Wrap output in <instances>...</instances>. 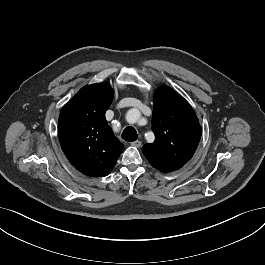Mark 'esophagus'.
I'll return each instance as SVG.
<instances>
[{
    "mask_svg": "<svg viewBox=\"0 0 265 265\" xmlns=\"http://www.w3.org/2000/svg\"><path fill=\"white\" fill-rule=\"evenodd\" d=\"M131 145L134 146V147L139 148L141 146V141L136 140V141L132 142Z\"/></svg>",
    "mask_w": 265,
    "mask_h": 265,
    "instance_id": "esophagus-1",
    "label": "esophagus"
}]
</instances>
